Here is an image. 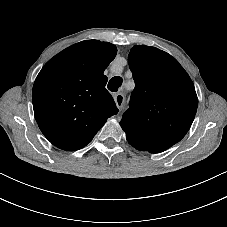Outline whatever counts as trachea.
Masks as SVG:
<instances>
[{
    "label": "trachea",
    "mask_w": 227,
    "mask_h": 227,
    "mask_svg": "<svg viewBox=\"0 0 227 227\" xmlns=\"http://www.w3.org/2000/svg\"><path fill=\"white\" fill-rule=\"evenodd\" d=\"M123 79L120 76L113 77L108 83V89L112 92H116L122 85Z\"/></svg>",
    "instance_id": "obj_1"
}]
</instances>
